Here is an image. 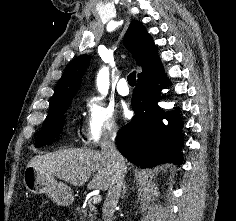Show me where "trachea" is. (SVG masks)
I'll use <instances>...</instances> for the list:
<instances>
[{
  "mask_svg": "<svg viewBox=\"0 0 236 221\" xmlns=\"http://www.w3.org/2000/svg\"><path fill=\"white\" fill-rule=\"evenodd\" d=\"M128 83L131 86L136 85V71L131 72L127 77Z\"/></svg>",
  "mask_w": 236,
  "mask_h": 221,
  "instance_id": "3493384b",
  "label": "trachea"
}]
</instances>
